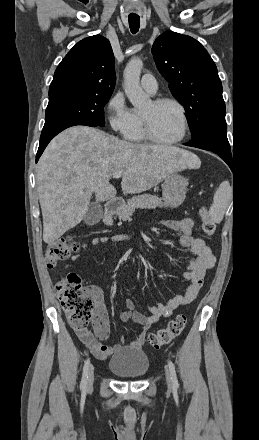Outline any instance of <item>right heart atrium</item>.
<instances>
[{
    "mask_svg": "<svg viewBox=\"0 0 259 440\" xmlns=\"http://www.w3.org/2000/svg\"><path fill=\"white\" fill-rule=\"evenodd\" d=\"M106 117L113 132L126 136L134 124L133 110L128 107L122 92H117L108 100Z\"/></svg>",
    "mask_w": 259,
    "mask_h": 440,
    "instance_id": "1",
    "label": "right heart atrium"
}]
</instances>
